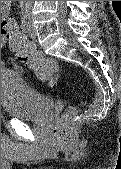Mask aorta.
I'll return each instance as SVG.
<instances>
[{"label":"aorta","mask_w":121,"mask_h":169,"mask_svg":"<svg viewBox=\"0 0 121 169\" xmlns=\"http://www.w3.org/2000/svg\"><path fill=\"white\" fill-rule=\"evenodd\" d=\"M33 1H20L21 4H32Z\"/></svg>","instance_id":"1"}]
</instances>
